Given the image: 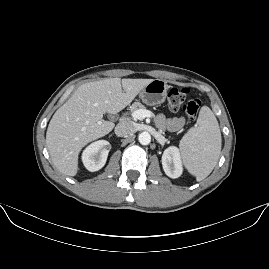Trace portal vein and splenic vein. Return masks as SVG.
I'll use <instances>...</instances> for the list:
<instances>
[{
	"mask_svg": "<svg viewBox=\"0 0 269 269\" xmlns=\"http://www.w3.org/2000/svg\"><path fill=\"white\" fill-rule=\"evenodd\" d=\"M151 116H152V112L146 109H138L132 113V117L138 120H143Z\"/></svg>",
	"mask_w": 269,
	"mask_h": 269,
	"instance_id": "1",
	"label": "portal vein and splenic vein"
}]
</instances>
